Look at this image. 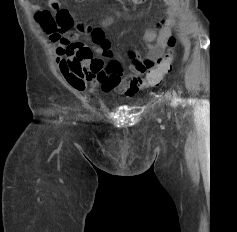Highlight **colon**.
<instances>
[{
	"label": "colon",
	"instance_id": "obj_1",
	"mask_svg": "<svg viewBox=\"0 0 237 232\" xmlns=\"http://www.w3.org/2000/svg\"><path fill=\"white\" fill-rule=\"evenodd\" d=\"M134 1L142 2L144 0ZM49 6V10L37 12L36 18L40 26L49 33L52 41H61L62 43L70 41L75 34L73 28L80 33L91 31V26L88 23L81 22L75 25L71 12L62 5L60 0H49ZM167 44V53L158 61L156 68L150 70L146 75L147 86L160 85L163 77L172 70L176 38L170 36Z\"/></svg>",
	"mask_w": 237,
	"mask_h": 232
}]
</instances>
